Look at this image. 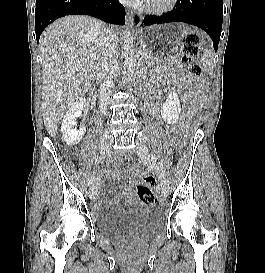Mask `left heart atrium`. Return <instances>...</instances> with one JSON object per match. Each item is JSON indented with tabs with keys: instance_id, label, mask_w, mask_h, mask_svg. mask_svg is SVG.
Returning <instances> with one entry per match:
<instances>
[{
	"instance_id": "left-heart-atrium-1",
	"label": "left heart atrium",
	"mask_w": 265,
	"mask_h": 273,
	"mask_svg": "<svg viewBox=\"0 0 265 273\" xmlns=\"http://www.w3.org/2000/svg\"><path fill=\"white\" fill-rule=\"evenodd\" d=\"M137 1H143V2H148L149 0H137Z\"/></svg>"
}]
</instances>
